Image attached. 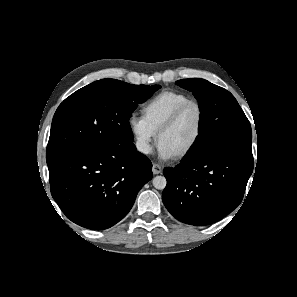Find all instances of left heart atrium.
Here are the masks:
<instances>
[{
  "label": "left heart atrium",
  "mask_w": 297,
  "mask_h": 297,
  "mask_svg": "<svg viewBox=\"0 0 297 297\" xmlns=\"http://www.w3.org/2000/svg\"><path fill=\"white\" fill-rule=\"evenodd\" d=\"M158 154L160 158L164 160H168L174 157V154L165 145H163L160 142L158 143Z\"/></svg>",
  "instance_id": "39dd6f15"
}]
</instances>
